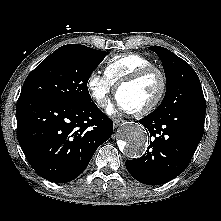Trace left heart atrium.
<instances>
[{
  "instance_id": "1",
  "label": "left heart atrium",
  "mask_w": 221,
  "mask_h": 221,
  "mask_svg": "<svg viewBox=\"0 0 221 221\" xmlns=\"http://www.w3.org/2000/svg\"><path fill=\"white\" fill-rule=\"evenodd\" d=\"M118 108H121V109H126L123 105H122V103L120 102V100L117 98V100H116V104H115ZM114 107L115 106H111L110 108H109V112L110 113H112L113 111H114Z\"/></svg>"
}]
</instances>
